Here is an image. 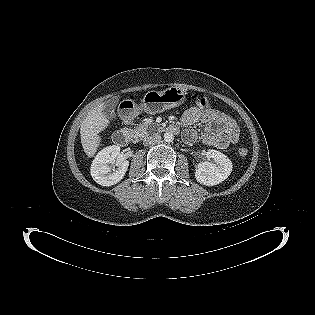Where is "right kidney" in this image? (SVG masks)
Wrapping results in <instances>:
<instances>
[{
  "mask_svg": "<svg viewBox=\"0 0 315 315\" xmlns=\"http://www.w3.org/2000/svg\"><path fill=\"white\" fill-rule=\"evenodd\" d=\"M119 154L120 147L113 145L105 147L96 155L91 165V176L96 183L111 186L123 179L129 161L117 160Z\"/></svg>",
  "mask_w": 315,
  "mask_h": 315,
  "instance_id": "obj_1",
  "label": "right kidney"
}]
</instances>
